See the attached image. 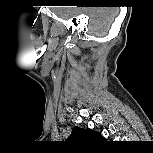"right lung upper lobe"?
Here are the masks:
<instances>
[{"label":"right lung upper lobe","mask_w":153,"mask_h":153,"mask_svg":"<svg viewBox=\"0 0 153 153\" xmlns=\"http://www.w3.org/2000/svg\"><path fill=\"white\" fill-rule=\"evenodd\" d=\"M67 140L80 145H92L104 139L90 129L76 127L72 130Z\"/></svg>","instance_id":"obj_1"}]
</instances>
